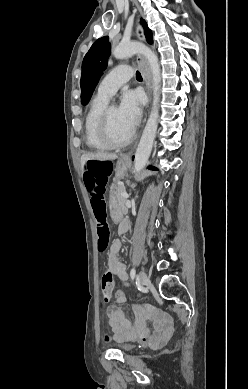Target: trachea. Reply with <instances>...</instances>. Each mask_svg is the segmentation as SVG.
<instances>
[{
	"instance_id": "obj_1",
	"label": "trachea",
	"mask_w": 248,
	"mask_h": 389,
	"mask_svg": "<svg viewBox=\"0 0 248 389\" xmlns=\"http://www.w3.org/2000/svg\"><path fill=\"white\" fill-rule=\"evenodd\" d=\"M136 79L137 80H142V76H141L139 71L136 72Z\"/></svg>"
}]
</instances>
